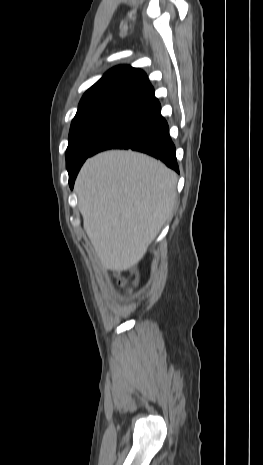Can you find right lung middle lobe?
Wrapping results in <instances>:
<instances>
[{
    "instance_id": "right-lung-middle-lobe-1",
    "label": "right lung middle lobe",
    "mask_w": 263,
    "mask_h": 465,
    "mask_svg": "<svg viewBox=\"0 0 263 465\" xmlns=\"http://www.w3.org/2000/svg\"><path fill=\"white\" fill-rule=\"evenodd\" d=\"M137 100L107 99L79 106L72 121L66 150L68 172L81 167L99 141L137 103Z\"/></svg>"
}]
</instances>
